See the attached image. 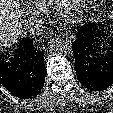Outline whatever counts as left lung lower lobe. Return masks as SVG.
<instances>
[{
  "instance_id": "1",
  "label": "left lung lower lobe",
  "mask_w": 113,
  "mask_h": 113,
  "mask_svg": "<svg viewBox=\"0 0 113 113\" xmlns=\"http://www.w3.org/2000/svg\"><path fill=\"white\" fill-rule=\"evenodd\" d=\"M73 53L76 75L85 88L101 91L112 85L113 34L104 32L99 22L80 26Z\"/></svg>"
}]
</instances>
